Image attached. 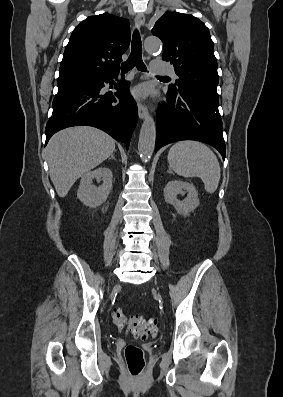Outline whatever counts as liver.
<instances>
[{
	"instance_id": "6515ba94",
	"label": "liver",
	"mask_w": 283,
	"mask_h": 397,
	"mask_svg": "<svg viewBox=\"0 0 283 397\" xmlns=\"http://www.w3.org/2000/svg\"><path fill=\"white\" fill-rule=\"evenodd\" d=\"M114 151V139L96 128L78 126L57 132L46 147L50 178L57 194L65 197L79 177Z\"/></svg>"
}]
</instances>
